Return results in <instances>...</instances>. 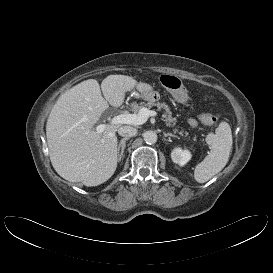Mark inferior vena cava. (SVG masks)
Masks as SVG:
<instances>
[{
	"mask_svg": "<svg viewBox=\"0 0 273 273\" xmlns=\"http://www.w3.org/2000/svg\"><path fill=\"white\" fill-rule=\"evenodd\" d=\"M118 133L122 137L130 138L136 135L137 129L132 126L125 125V126H121L118 129Z\"/></svg>",
	"mask_w": 273,
	"mask_h": 273,
	"instance_id": "602c4592",
	"label": "inferior vena cava"
}]
</instances>
